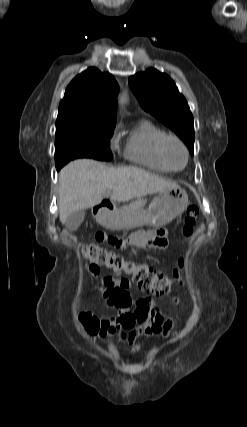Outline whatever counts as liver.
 Here are the masks:
<instances>
[{
	"label": "liver",
	"mask_w": 247,
	"mask_h": 427,
	"mask_svg": "<svg viewBox=\"0 0 247 427\" xmlns=\"http://www.w3.org/2000/svg\"><path fill=\"white\" fill-rule=\"evenodd\" d=\"M178 187L157 175L137 167L112 168L91 159H77L59 173V218L94 207L104 197L125 202Z\"/></svg>",
	"instance_id": "obj_1"
}]
</instances>
